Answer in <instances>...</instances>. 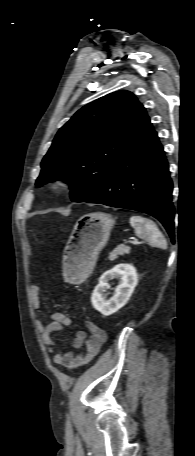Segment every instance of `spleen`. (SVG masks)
<instances>
[{
    "label": "spleen",
    "mask_w": 195,
    "mask_h": 456,
    "mask_svg": "<svg viewBox=\"0 0 195 456\" xmlns=\"http://www.w3.org/2000/svg\"><path fill=\"white\" fill-rule=\"evenodd\" d=\"M130 224L138 237L148 241L152 246L167 248L166 239L151 219L137 215L131 216Z\"/></svg>",
    "instance_id": "1"
}]
</instances>
